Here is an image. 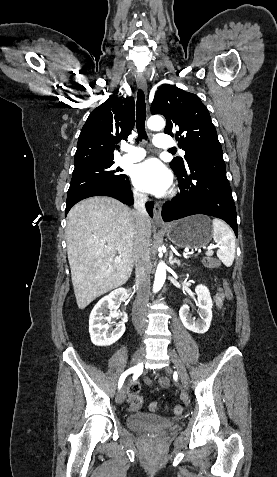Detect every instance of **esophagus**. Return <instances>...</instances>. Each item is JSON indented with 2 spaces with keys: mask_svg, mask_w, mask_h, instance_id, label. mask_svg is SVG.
I'll use <instances>...</instances> for the list:
<instances>
[{
  "mask_svg": "<svg viewBox=\"0 0 277 477\" xmlns=\"http://www.w3.org/2000/svg\"><path fill=\"white\" fill-rule=\"evenodd\" d=\"M137 85L139 89L146 92L147 91V83L146 79L142 74H138L136 77ZM153 220L157 224H162V217H161V204L159 202H155L154 204V211H153Z\"/></svg>",
  "mask_w": 277,
  "mask_h": 477,
  "instance_id": "esophagus-1",
  "label": "esophagus"
}]
</instances>
